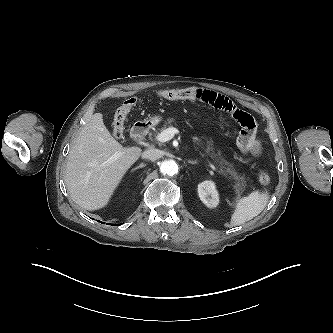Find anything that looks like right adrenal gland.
Segmentation results:
<instances>
[{
    "instance_id": "1",
    "label": "right adrenal gland",
    "mask_w": 333,
    "mask_h": 333,
    "mask_svg": "<svg viewBox=\"0 0 333 333\" xmlns=\"http://www.w3.org/2000/svg\"><path fill=\"white\" fill-rule=\"evenodd\" d=\"M146 165L145 164H140L139 166H137L136 168L133 169V171L137 170V169H140V168H143L145 167Z\"/></svg>"
}]
</instances>
